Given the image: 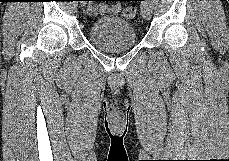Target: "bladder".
<instances>
[{"instance_id": "31cf9c89", "label": "bladder", "mask_w": 229, "mask_h": 161, "mask_svg": "<svg viewBox=\"0 0 229 161\" xmlns=\"http://www.w3.org/2000/svg\"><path fill=\"white\" fill-rule=\"evenodd\" d=\"M88 36L94 46L106 51L129 49L137 42L133 25L117 16L96 19L89 28Z\"/></svg>"}]
</instances>
